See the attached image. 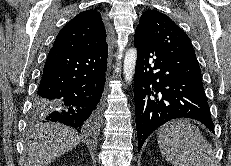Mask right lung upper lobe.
<instances>
[{
    "mask_svg": "<svg viewBox=\"0 0 231 166\" xmlns=\"http://www.w3.org/2000/svg\"><path fill=\"white\" fill-rule=\"evenodd\" d=\"M106 27L97 9L83 11L58 33L52 48L88 51L106 45Z\"/></svg>",
    "mask_w": 231,
    "mask_h": 166,
    "instance_id": "obj_1",
    "label": "right lung upper lobe"
}]
</instances>
